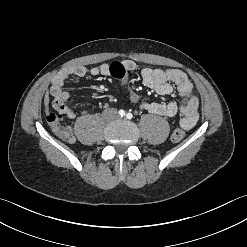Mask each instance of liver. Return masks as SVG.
Listing matches in <instances>:
<instances>
[{
	"mask_svg": "<svg viewBox=\"0 0 247 247\" xmlns=\"http://www.w3.org/2000/svg\"><path fill=\"white\" fill-rule=\"evenodd\" d=\"M44 102H45V107H46V113H48V103H49V96L48 94L45 95V98H44Z\"/></svg>",
	"mask_w": 247,
	"mask_h": 247,
	"instance_id": "liver-1",
	"label": "liver"
}]
</instances>
